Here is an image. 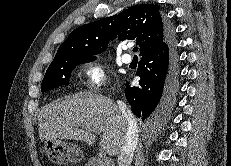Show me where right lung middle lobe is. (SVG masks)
Listing matches in <instances>:
<instances>
[{"mask_svg": "<svg viewBox=\"0 0 231 166\" xmlns=\"http://www.w3.org/2000/svg\"><path fill=\"white\" fill-rule=\"evenodd\" d=\"M94 55L69 56L52 61L41 83V91L68 85L72 70L79 64L95 60Z\"/></svg>", "mask_w": 231, "mask_h": 166, "instance_id": "right-lung-middle-lobe-1", "label": "right lung middle lobe"}]
</instances>
